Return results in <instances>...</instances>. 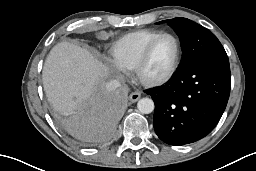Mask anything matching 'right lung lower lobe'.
I'll use <instances>...</instances> for the list:
<instances>
[{
  "label": "right lung lower lobe",
  "mask_w": 256,
  "mask_h": 171,
  "mask_svg": "<svg viewBox=\"0 0 256 171\" xmlns=\"http://www.w3.org/2000/svg\"><path fill=\"white\" fill-rule=\"evenodd\" d=\"M126 105V92H104L87 107L70 116L64 122L65 129L73 137L86 143L108 141L114 134Z\"/></svg>",
  "instance_id": "right-lung-lower-lobe-1"
}]
</instances>
